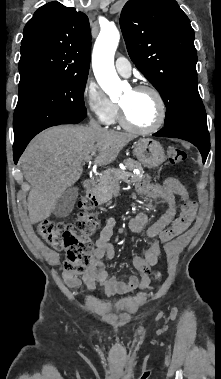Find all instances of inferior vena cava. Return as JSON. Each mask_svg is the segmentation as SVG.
<instances>
[{
	"label": "inferior vena cava",
	"instance_id": "1",
	"mask_svg": "<svg viewBox=\"0 0 221 379\" xmlns=\"http://www.w3.org/2000/svg\"><path fill=\"white\" fill-rule=\"evenodd\" d=\"M89 126L93 129H97V130H100L101 129V126L94 120V119H91L90 122H89Z\"/></svg>",
	"mask_w": 221,
	"mask_h": 379
}]
</instances>
